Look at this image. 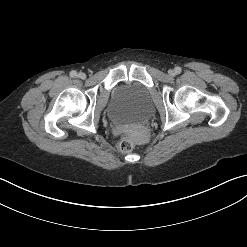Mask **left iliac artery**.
Returning a JSON list of instances; mask_svg holds the SVG:
<instances>
[{
	"mask_svg": "<svg viewBox=\"0 0 247 247\" xmlns=\"http://www.w3.org/2000/svg\"><path fill=\"white\" fill-rule=\"evenodd\" d=\"M175 72H176V73H180V72H181V68H180V67H176V68H175Z\"/></svg>",
	"mask_w": 247,
	"mask_h": 247,
	"instance_id": "1",
	"label": "left iliac artery"
}]
</instances>
